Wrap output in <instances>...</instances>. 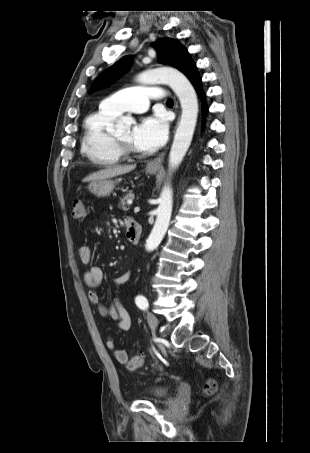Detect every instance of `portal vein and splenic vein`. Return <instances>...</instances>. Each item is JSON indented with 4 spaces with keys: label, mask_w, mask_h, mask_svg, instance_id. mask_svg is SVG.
Returning a JSON list of instances; mask_svg holds the SVG:
<instances>
[{
    "label": "portal vein and splenic vein",
    "mask_w": 310,
    "mask_h": 453,
    "mask_svg": "<svg viewBox=\"0 0 310 453\" xmlns=\"http://www.w3.org/2000/svg\"><path fill=\"white\" fill-rule=\"evenodd\" d=\"M128 204H132V201L129 200V201H128ZM139 211H140V208H139V207H135V208H134V212H139Z\"/></svg>",
    "instance_id": "portal-vein-and-splenic-vein-1"
}]
</instances>
